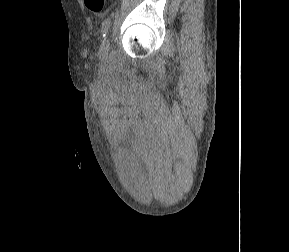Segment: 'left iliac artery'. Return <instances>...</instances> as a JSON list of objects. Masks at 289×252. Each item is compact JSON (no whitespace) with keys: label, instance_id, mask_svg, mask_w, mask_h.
Returning a JSON list of instances; mask_svg holds the SVG:
<instances>
[{"label":"left iliac artery","instance_id":"44dca946","mask_svg":"<svg viewBox=\"0 0 289 252\" xmlns=\"http://www.w3.org/2000/svg\"><path fill=\"white\" fill-rule=\"evenodd\" d=\"M112 16L113 15H111L110 17H107L102 23L101 33H102L103 37H105L107 35V33H108V30H109V28L111 26V17Z\"/></svg>","mask_w":289,"mask_h":252}]
</instances>
